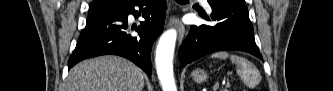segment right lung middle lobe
Returning <instances> with one entry per match:
<instances>
[{
  "label": "right lung middle lobe",
  "instance_id": "1",
  "mask_svg": "<svg viewBox=\"0 0 333 91\" xmlns=\"http://www.w3.org/2000/svg\"><path fill=\"white\" fill-rule=\"evenodd\" d=\"M120 5H121V3L118 2V1L111 2V3L107 4V5L93 3L92 10H99V9L105 7V6H107V7H116V6H120Z\"/></svg>",
  "mask_w": 333,
  "mask_h": 91
}]
</instances>
